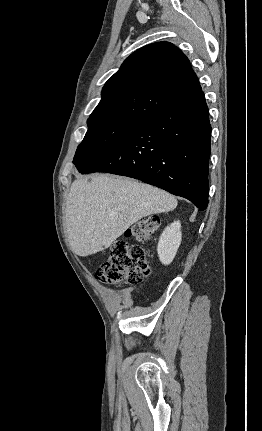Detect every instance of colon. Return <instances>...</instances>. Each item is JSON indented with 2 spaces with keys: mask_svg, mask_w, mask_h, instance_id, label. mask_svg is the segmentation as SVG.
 Listing matches in <instances>:
<instances>
[{
  "mask_svg": "<svg viewBox=\"0 0 262 431\" xmlns=\"http://www.w3.org/2000/svg\"><path fill=\"white\" fill-rule=\"evenodd\" d=\"M157 215L149 216L138 222L126 232L127 239L117 241L110 249L107 259L98 267L96 279L101 283L135 285L143 281L151 272L149 253L141 245L150 242L159 228Z\"/></svg>",
  "mask_w": 262,
  "mask_h": 431,
  "instance_id": "5ec220e1",
  "label": "colon"
}]
</instances>
